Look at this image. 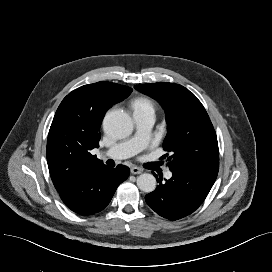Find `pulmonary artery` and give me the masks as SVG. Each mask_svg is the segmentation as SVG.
<instances>
[{"instance_id":"1","label":"pulmonary artery","mask_w":272,"mask_h":272,"mask_svg":"<svg viewBox=\"0 0 272 272\" xmlns=\"http://www.w3.org/2000/svg\"><path fill=\"white\" fill-rule=\"evenodd\" d=\"M134 120L136 125L135 134L122 142H119L108 150L104 154L112 159L120 160L129 158L138 152L145 149L150 140L151 128L155 122V116L153 114H134ZM166 176L169 178L170 173Z\"/></svg>"}]
</instances>
